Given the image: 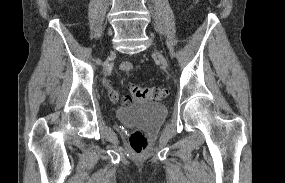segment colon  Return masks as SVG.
<instances>
[{
  "instance_id": "colon-1",
  "label": "colon",
  "mask_w": 285,
  "mask_h": 183,
  "mask_svg": "<svg viewBox=\"0 0 285 183\" xmlns=\"http://www.w3.org/2000/svg\"><path fill=\"white\" fill-rule=\"evenodd\" d=\"M120 71L125 75H130L134 71V65L130 61H124L120 65ZM132 98L147 101H159L166 96V91L160 87H140L132 86L130 88ZM110 96V95H109ZM113 99V96H110ZM132 98H124L123 103L129 104ZM130 146L135 153H142L147 145L148 139L141 131L132 132L129 139Z\"/></svg>"
}]
</instances>
